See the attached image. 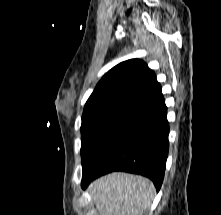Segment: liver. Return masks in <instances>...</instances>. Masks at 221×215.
<instances>
[{
	"label": "liver",
	"mask_w": 221,
	"mask_h": 215,
	"mask_svg": "<svg viewBox=\"0 0 221 215\" xmlns=\"http://www.w3.org/2000/svg\"><path fill=\"white\" fill-rule=\"evenodd\" d=\"M88 192L99 215H144L155 188L147 178L114 172L91 183Z\"/></svg>",
	"instance_id": "liver-1"
}]
</instances>
